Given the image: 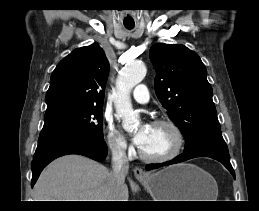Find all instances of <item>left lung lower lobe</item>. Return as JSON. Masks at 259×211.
<instances>
[{
  "mask_svg": "<svg viewBox=\"0 0 259 211\" xmlns=\"http://www.w3.org/2000/svg\"><path fill=\"white\" fill-rule=\"evenodd\" d=\"M196 157H210L215 160H218L230 171V173L235 178V173H234V170L230 163V156L228 153V148L212 146V145L200 146V147L192 149L188 152H184L183 154L177 156L175 159H173L169 162H165L162 164H149L146 166V169L151 170V169L159 168L161 166H167V165H171V164L180 163V162H183V161H186V160H189L192 158H196Z\"/></svg>",
  "mask_w": 259,
  "mask_h": 211,
  "instance_id": "left-lung-lower-lobe-1",
  "label": "left lung lower lobe"
}]
</instances>
